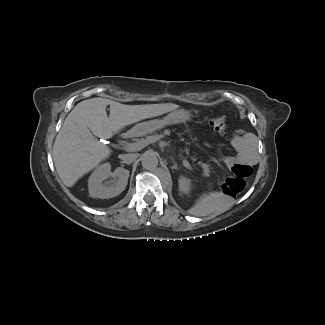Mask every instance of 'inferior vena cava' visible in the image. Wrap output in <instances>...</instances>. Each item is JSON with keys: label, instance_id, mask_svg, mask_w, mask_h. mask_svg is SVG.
Instances as JSON below:
<instances>
[{"label": "inferior vena cava", "instance_id": "inferior-vena-cava-1", "mask_svg": "<svg viewBox=\"0 0 325 325\" xmlns=\"http://www.w3.org/2000/svg\"><path fill=\"white\" fill-rule=\"evenodd\" d=\"M119 158L125 163H132L138 158V154H121Z\"/></svg>", "mask_w": 325, "mask_h": 325}]
</instances>
